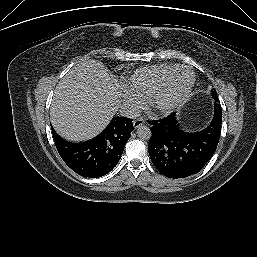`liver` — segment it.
<instances>
[{
  "label": "liver",
  "instance_id": "1",
  "mask_svg": "<svg viewBox=\"0 0 257 257\" xmlns=\"http://www.w3.org/2000/svg\"><path fill=\"white\" fill-rule=\"evenodd\" d=\"M118 84L104 64L89 59L78 63L54 92L50 119L56 133L69 141L99 134L119 108Z\"/></svg>",
  "mask_w": 257,
  "mask_h": 257
}]
</instances>
